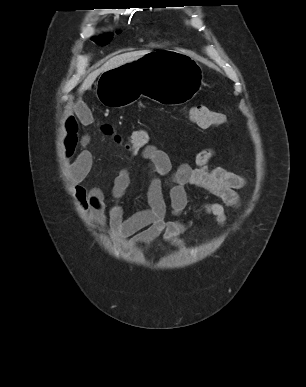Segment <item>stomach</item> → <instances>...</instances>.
I'll return each instance as SVG.
<instances>
[{
	"instance_id": "0dacf381",
	"label": "stomach",
	"mask_w": 306,
	"mask_h": 387,
	"mask_svg": "<svg viewBox=\"0 0 306 387\" xmlns=\"http://www.w3.org/2000/svg\"><path fill=\"white\" fill-rule=\"evenodd\" d=\"M202 76V68L193 58L166 46H153L152 52L134 63L103 70L97 97L111 108L129 106L140 95L167 104V108H178V104L190 103Z\"/></svg>"
}]
</instances>
